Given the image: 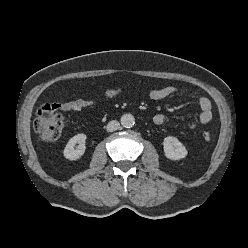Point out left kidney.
Here are the masks:
<instances>
[{
    "mask_svg": "<svg viewBox=\"0 0 248 248\" xmlns=\"http://www.w3.org/2000/svg\"><path fill=\"white\" fill-rule=\"evenodd\" d=\"M163 149L165 156L171 160H180L186 157L188 151L185 146L173 136L164 138Z\"/></svg>",
    "mask_w": 248,
    "mask_h": 248,
    "instance_id": "left-kidney-1",
    "label": "left kidney"
}]
</instances>
